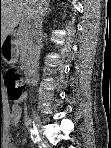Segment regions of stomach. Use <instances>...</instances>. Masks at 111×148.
Here are the masks:
<instances>
[{"instance_id":"0dacf381","label":"stomach","mask_w":111,"mask_h":148,"mask_svg":"<svg viewBox=\"0 0 111 148\" xmlns=\"http://www.w3.org/2000/svg\"><path fill=\"white\" fill-rule=\"evenodd\" d=\"M4 41L2 42L3 45ZM0 57L7 64H13L16 62V48L13 42L6 46H0Z\"/></svg>"}]
</instances>
